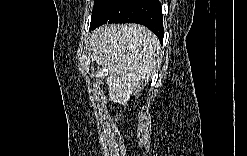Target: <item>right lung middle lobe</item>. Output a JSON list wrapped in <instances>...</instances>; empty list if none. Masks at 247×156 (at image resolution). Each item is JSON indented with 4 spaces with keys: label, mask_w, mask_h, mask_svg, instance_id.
Wrapping results in <instances>:
<instances>
[{
    "label": "right lung middle lobe",
    "mask_w": 247,
    "mask_h": 156,
    "mask_svg": "<svg viewBox=\"0 0 247 156\" xmlns=\"http://www.w3.org/2000/svg\"><path fill=\"white\" fill-rule=\"evenodd\" d=\"M111 0H95L94 7L91 17V22H93L99 14L104 10V8L108 5Z\"/></svg>",
    "instance_id": "obj_1"
}]
</instances>
